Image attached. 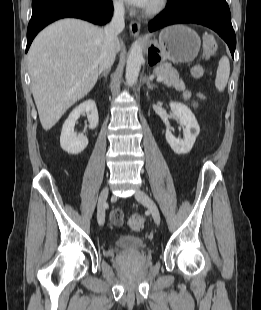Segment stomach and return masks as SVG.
Instances as JSON below:
<instances>
[{"label": "stomach", "instance_id": "0dacf381", "mask_svg": "<svg viewBox=\"0 0 261 310\" xmlns=\"http://www.w3.org/2000/svg\"><path fill=\"white\" fill-rule=\"evenodd\" d=\"M201 45L198 34L185 25H172L163 29L159 39L147 44L151 65H164L166 61L188 63L195 59Z\"/></svg>", "mask_w": 261, "mask_h": 310}]
</instances>
